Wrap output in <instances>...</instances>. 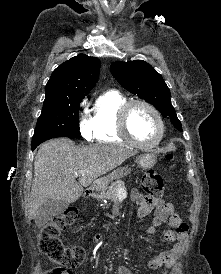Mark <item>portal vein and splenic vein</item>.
<instances>
[{
	"mask_svg": "<svg viewBox=\"0 0 221 274\" xmlns=\"http://www.w3.org/2000/svg\"><path fill=\"white\" fill-rule=\"evenodd\" d=\"M84 174V171H78V175H83ZM121 193V192H120Z\"/></svg>",
	"mask_w": 221,
	"mask_h": 274,
	"instance_id": "obj_1",
	"label": "portal vein and splenic vein"
}]
</instances>
